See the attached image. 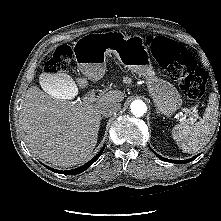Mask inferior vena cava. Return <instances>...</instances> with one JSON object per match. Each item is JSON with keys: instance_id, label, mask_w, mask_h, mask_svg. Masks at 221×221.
Segmentation results:
<instances>
[{"instance_id": "1", "label": "inferior vena cava", "mask_w": 221, "mask_h": 221, "mask_svg": "<svg viewBox=\"0 0 221 221\" xmlns=\"http://www.w3.org/2000/svg\"><path fill=\"white\" fill-rule=\"evenodd\" d=\"M120 108H121V104L118 102L108 103L102 107L101 114L104 117H110L113 114H115L117 111H119Z\"/></svg>"}]
</instances>
